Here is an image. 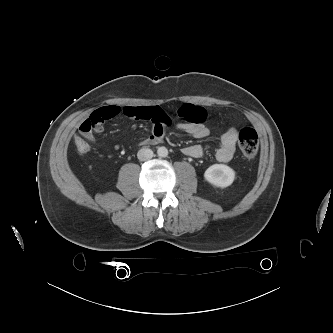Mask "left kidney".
Here are the masks:
<instances>
[{
  "mask_svg": "<svg viewBox=\"0 0 333 333\" xmlns=\"http://www.w3.org/2000/svg\"><path fill=\"white\" fill-rule=\"evenodd\" d=\"M204 178L210 184L216 187H228L235 178V172L232 168L224 164H214L204 173Z\"/></svg>",
  "mask_w": 333,
  "mask_h": 333,
  "instance_id": "5707ae66",
  "label": "left kidney"
}]
</instances>
